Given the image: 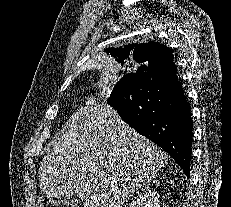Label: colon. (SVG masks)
Instances as JSON below:
<instances>
[{"mask_svg":"<svg viewBox=\"0 0 231 207\" xmlns=\"http://www.w3.org/2000/svg\"><path fill=\"white\" fill-rule=\"evenodd\" d=\"M38 207H76L62 200L42 199L38 203Z\"/></svg>","mask_w":231,"mask_h":207,"instance_id":"1","label":"colon"}]
</instances>
